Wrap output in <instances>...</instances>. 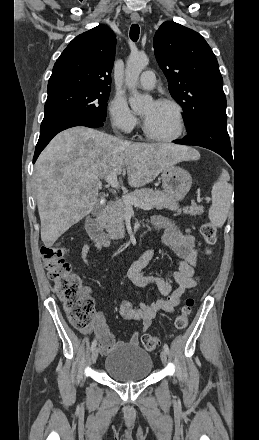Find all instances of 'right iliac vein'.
<instances>
[{
	"label": "right iliac vein",
	"instance_id": "1",
	"mask_svg": "<svg viewBox=\"0 0 259 440\" xmlns=\"http://www.w3.org/2000/svg\"><path fill=\"white\" fill-rule=\"evenodd\" d=\"M97 358H98V349L95 348L91 354V361L93 364L96 362Z\"/></svg>",
	"mask_w": 259,
	"mask_h": 440
}]
</instances>
